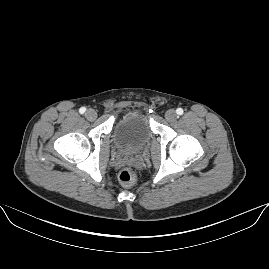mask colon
<instances>
[{
	"label": "colon",
	"instance_id": "obj_1",
	"mask_svg": "<svg viewBox=\"0 0 269 269\" xmlns=\"http://www.w3.org/2000/svg\"><path fill=\"white\" fill-rule=\"evenodd\" d=\"M137 176L135 171L129 167H123L119 172V181L125 186H133L136 183Z\"/></svg>",
	"mask_w": 269,
	"mask_h": 269
}]
</instances>
